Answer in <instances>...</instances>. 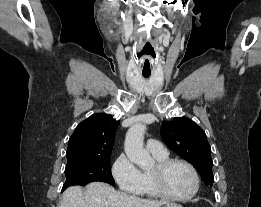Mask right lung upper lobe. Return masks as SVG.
Segmentation results:
<instances>
[{
  "mask_svg": "<svg viewBox=\"0 0 261 207\" xmlns=\"http://www.w3.org/2000/svg\"><path fill=\"white\" fill-rule=\"evenodd\" d=\"M118 125L119 121L104 113L82 121L69 139L67 161L110 157Z\"/></svg>",
  "mask_w": 261,
  "mask_h": 207,
  "instance_id": "cb5924a9",
  "label": "right lung upper lobe"
}]
</instances>
